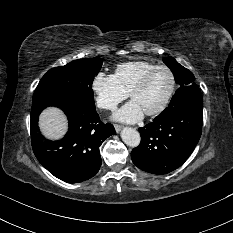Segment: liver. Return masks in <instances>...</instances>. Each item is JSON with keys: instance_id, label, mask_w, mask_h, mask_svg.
Wrapping results in <instances>:
<instances>
[{"instance_id": "6515ba94", "label": "liver", "mask_w": 233, "mask_h": 233, "mask_svg": "<svg viewBox=\"0 0 233 233\" xmlns=\"http://www.w3.org/2000/svg\"><path fill=\"white\" fill-rule=\"evenodd\" d=\"M39 127L48 139H59L67 131V119L60 109L50 107L40 115Z\"/></svg>"}]
</instances>
